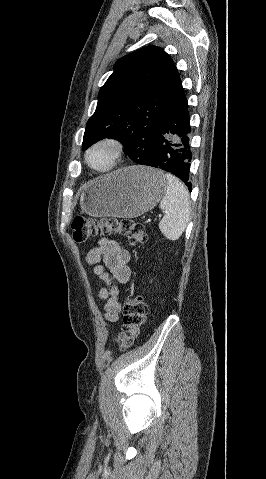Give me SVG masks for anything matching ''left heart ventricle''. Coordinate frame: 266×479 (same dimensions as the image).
Here are the masks:
<instances>
[{"label":"left heart ventricle","mask_w":266,"mask_h":479,"mask_svg":"<svg viewBox=\"0 0 266 479\" xmlns=\"http://www.w3.org/2000/svg\"><path fill=\"white\" fill-rule=\"evenodd\" d=\"M110 161V153L106 149H99L91 156V162L97 167H105Z\"/></svg>","instance_id":"left-heart-ventricle-1"}]
</instances>
